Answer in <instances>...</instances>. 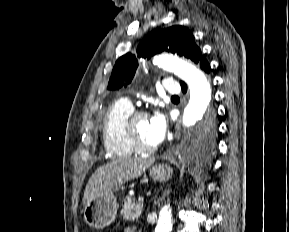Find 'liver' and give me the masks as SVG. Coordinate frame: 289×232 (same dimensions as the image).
<instances>
[{"label": "liver", "instance_id": "1", "mask_svg": "<svg viewBox=\"0 0 289 232\" xmlns=\"http://www.w3.org/2000/svg\"><path fill=\"white\" fill-rule=\"evenodd\" d=\"M153 162V159H125L115 160L99 167L86 185L84 206L94 198L112 192L123 183L140 177Z\"/></svg>", "mask_w": 289, "mask_h": 232}]
</instances>
